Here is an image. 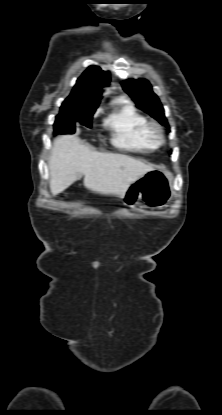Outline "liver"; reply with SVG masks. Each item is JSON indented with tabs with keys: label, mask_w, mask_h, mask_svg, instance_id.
I'll use <instances>...</instances> for the list:
<instances>
[{
	"label": "liver",
	"mask_w": 222,
	"mask_h": 415,
	"mask_svg": "<svg viewBox=\"0 0 222 415\" xmlns=\"http://www.w3.org/2000/svg\"><path fill=\"white\" fill-rule=\"evenodd\" d=\"M48 166L53 196L84 176L87 189L120 198L132 182L157 168L128 155L93 151L76 135H62L53 141Z\"/></svg>",
	"instance_id": "1"
}]
</instances>
